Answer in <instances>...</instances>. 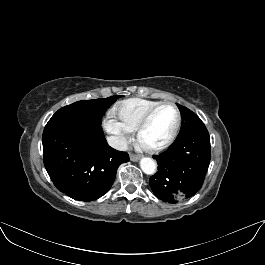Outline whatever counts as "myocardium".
I'll list each match as a JSON object with an SVG mask.
<instances>
[{"label":"myocardium","instance_id":"f54148a6","mask_svg":"<svg viewBox=\"0 0 265 265\" xmlns=\"http://www.w3.org/2000/svg\"><path fill=\"white\" fill-rule=\"evenodd\" d=\"M164 106H171L175 112H176V123L175 126L171 132V134L168 136V138L162 142L159 145L156 146H147L145 145L142 141H141V133L142 131L145 129V127L148 125L149 121L151 120V118L153 117V115L157 112V110H159L161 107ZM181 122H182V115L181 112L178 108V106L170 101H165V102H160L158 104H156L155 106H153L152 108H150L141 118V120L139 121V123L137 124L136 128H135V134H136V139L138 141V143L140 144V146L146 150L147 152L150 153H157V152H161L165 149H167L176 139L180 127H181Z\"/></svg>","mask_w":265,"mask_h":265}]
</instances>
